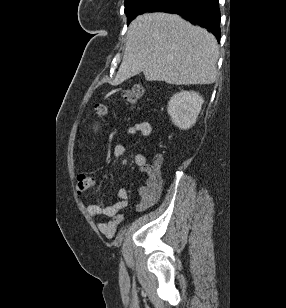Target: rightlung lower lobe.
<instances>
[{
  "label": "right lung lower lobe",
  "mask_w": 286,
  "mask_h": 308,
  "mask_svg": "<svg viewBox=\"0 0 286 308\" xmlns=\"http://www.w3.org/2000/svg\"><path fill=\"white\" fill-rule=\"evenodd\" d=\"M153 11L178 14L191 23L209 29L220 41L219 0H168Z\"/></svg>",
  "instance_id": "1"
}]
</instances>
